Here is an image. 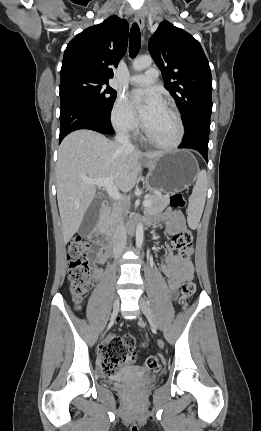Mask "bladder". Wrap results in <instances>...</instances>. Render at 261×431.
<instances>
[{
    "instance_id": "1",
    "label": "bladder",
    "mask_w": 261,
    "mask_h": 431,
    "mask_svg": "<svg viewBox=\"0 0 261 431\" xmlns=\"http://www.w3.org/2000/svg\"><path fill=\"white\" fill-rule=\"evenodd\" d=\"M117 380L119 381L120 385L137 384L141 387H149L155 381L153 377L138 378L134 374L133 369H127L125 372L121 373L119 376H117Z\"/></svg>"
}]
</instances>
